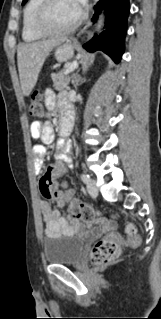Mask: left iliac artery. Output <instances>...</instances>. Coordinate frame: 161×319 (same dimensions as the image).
<instances>
[{
  "label": "left iliac artery",
  "instance_id": "1",
  "mask_svg": "<svg viewBox=\"0 0 161 319\" xmlns=\"http://www.w3.org/2000/svg\"><path fill=\"white\" fill-rule=\"evenodd\" d=\"M81 179L86 184H88L90 182V176L87 174H81Z\"/></svg>",
  "mask_w": 161,
  "mask_h": 319
}]
</instances>
